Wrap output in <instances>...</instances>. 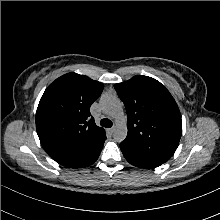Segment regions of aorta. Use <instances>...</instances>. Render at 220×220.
<instances>
[{"instance_id":"762f6f07","label":"aorta","mask_w":220,"mask_h":220,"mask_svg":"<svg viewBox=\"0 0 220 220\" xmlns=\"http://www.w3.org/2000/svg\"><path fill=\"white\" fill-rule=\"evenodd\" d=\"M104 112L115 120L113 137L117 142L123 141L127 136L126 117L121 101L112 95H105L100 100Z\"/></svg>"}]
</instances>
